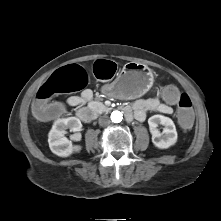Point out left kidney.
Returning a JSON list of instances; mask_svg holds the SVG:
<instances>
[{
    "label": "left kidney",
    "instance_id": "left-kidney-1",
    "mask_svg": "<svg viewBox=\"0 0 221 221\" xmlns=\"http://www.w3.org/2000/svg\"><path fill=\"white\" fill-rule=\"evenodd\" d=\"M153 144L160 149H167L177 141L176 127L172 119L163 115H154L148 119ZM164 126L161 133L157 127Z\"/></svg>",
    "mask_w": 221,
    "mask_h": 221
}]
</instances>
